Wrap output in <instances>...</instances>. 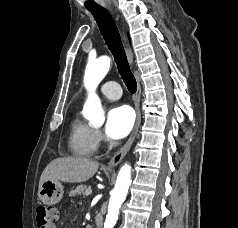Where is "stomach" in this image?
Wrapping results in <instances>:
<instances>
[{"label":"stomach","mask_w":238,"mask_h":228,"mask_svg":"<svg viewBox=\"0 0 238 228\" xmlns=\"http://www.w3.org/2000/svg\"><path fill=\"white\" fill-rule=\"evenodd\" d=\"M63 193V185L59 181L47 180L39 187L38 197L44 204L53 205L62 199Z\"/></svg>","instance_id":"1"}]
</instances>
